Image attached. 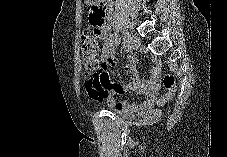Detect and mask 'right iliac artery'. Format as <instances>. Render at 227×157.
I'll return each instance as SVG.
<instances>
[{"mask_svg": "<svg viewBox=\"0 0 227 157\" xmlns=\"http://www.w3.org/2000/svg\"><path fill=\"white\" fill-rule=\"evenodd\" d=\"M125 51L126 53H131V48H130V45H125Z\"/></svg>", "mask_w": 227, "mask_h": 157, "instance_id": "82829eb1", "label": "right iliac artery"}]
</instances>
